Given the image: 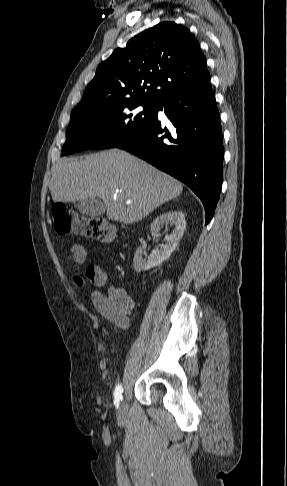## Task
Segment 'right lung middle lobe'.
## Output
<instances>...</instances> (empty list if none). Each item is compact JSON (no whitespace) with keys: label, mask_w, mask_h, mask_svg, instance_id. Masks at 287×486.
I'll list each match as a JSON object with an SVG mask.
<instances>
[{"label":"right lung middle lobe","mask_w":287,"mask_h":486,"mask_svg":"<svg viewBox=\"0 0 287 486\" xmlns=\"http://www.w3.org/2000/svg\"><path fill=\"white\" fill-rule=\"evenodd\" d=\"M157 106L150 100L125 99L72 111L61 155L126 142L155 117Z\"/></svg>","instance_id":"dd1d6c3e"}]
</instances>
